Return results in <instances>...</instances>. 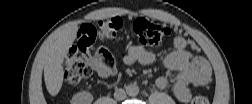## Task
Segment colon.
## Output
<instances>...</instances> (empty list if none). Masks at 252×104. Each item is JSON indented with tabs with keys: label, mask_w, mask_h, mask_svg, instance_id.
<instances>
[{
	"label": "colon",
	"mask_w": 252,
	"mask_h": 104,
	"mask_svg": "<svg viewBox=\"0 0 252 104\" xmlns=\"http://www.w3.org/2000/svg\"><path fill=\"white\" fill-rule=\"evenodd\" d=\"M122 28L120 18L101 20L95 23L83 24L77 31V43L71 48L64 61V77L70 84H78L91 75L90 67L83 60L93 44L99 39H113ZM133 30L138 41L143 45H155L166 40L172 33L170 27L152 22L146 18H137L133 23ZM97 57L101 64L110 72H115L114 53L106 47H100ZM204 94L194 96L193 104H207Z\"/></svg>",
	"instance_id": "colon-1"
}]
</instances>
